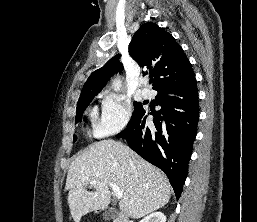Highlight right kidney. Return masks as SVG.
Returning a JSON list of instances; mask_svg holds the SVG:
<instances>
[{"label":"right kidney","mask_w":257,"mask_h":222,"mask_svg":"<svg viewBox=\"0 0 257 222\" xmlns=\"http://www.w3.org/2000/svg\"><path fill=\"white\" fill-rule=\"evenodd\" d=\"M140 222H166V216L162 212H154L144 217Z\"/></svg>","instance_id":"right-kidney-1"}]
</instances>
